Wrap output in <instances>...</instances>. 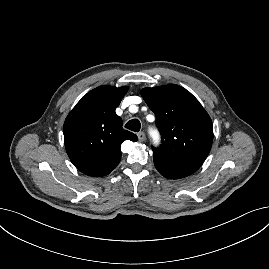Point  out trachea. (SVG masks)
<instances>
[{
	"mask_svg": "<svg viewBox=\"0 0 269 269\" xmlns=\"http://www.w3.org/2000/svg\"><path fill=\"white\" fill-rule=\"evenodd\" d=\"M125 127L131 131L139 132L141 123L138 119H132L126 123Z\"/></svg>",
	"mask_w": 269,
	"mask_h": 269,
	"instance_id": "trachea-1",
	"label": "trachea"
}]
</instances>
